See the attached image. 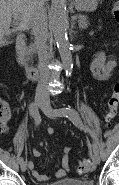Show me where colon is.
<instances>
[{"instance_id": "1", "label": "colon", "mask_w": 119, "mask_h": 185, "mask_svg": "<svg viewBox=\"0 0 119 185\" xmlns=\"http://www.w3.org/2000/svg\"><path fill=\"white\" fill-rule=\"evenodd\" d=\"M112 14L114 18L119 21V7L114 6L112 9ZM119 105V83L115 84L112 92L108 98L107 107L108 112L106 116V121L110 124L117 115ZM0 131L5 133L8 131V119L7 115L3 111L2 105H0ZM93 170V164L89 159L82 160L78 165V172L81 174L90 173Z\"/></svg>"}]
</instances>
